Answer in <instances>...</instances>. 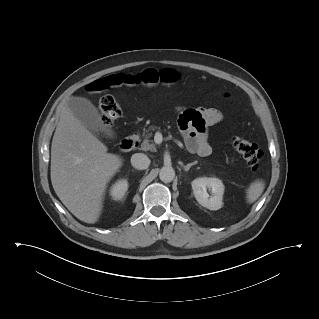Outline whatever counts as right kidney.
<instances>
[{
	"label": "right kidney",
	"instance_id": "obj_1",
	"mask_svg": "<svg viewBox=\"0 0 319 319\" xmlns=\"http://www.w3.org/2000/svg\"><path fill=\"white\" fill-rule=\"evenodd\" d=\"M128 189V182L126 179L118 180L116 183H114L110 190V195L114 200H121L126 191Z\"/></svg>",
	"mask_w": 319,
	"mask_h": 319
}]
</instances>
